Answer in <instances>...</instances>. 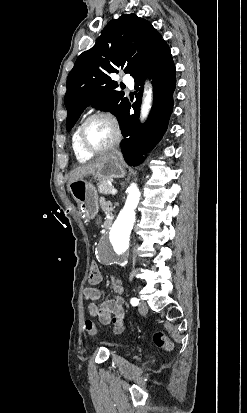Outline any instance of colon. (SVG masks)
<instances>
[{"instance_id": "obj_1", "label": "colon", "mask_w": 247, "mask_h": 413, "mask_svg": "<svg viewBox=\"0 0 247 413\" xmlns=\"http://www.w3.org/2000/svg\"><path fill=\"white\" fill-rule=\"evenodd\" d=\"M96 265L97 263L95 262L88 263V285L90 286H95L97 283L101 282V273L96 271ZM84 331L89 336H96L97 329L95 322L91 319L85 320ZM153 341L157 343L158 347L162 348V351H167L169 355H174L176 353V348L167 340L163 331H154Z\"/></svg>"}]
</instances>
